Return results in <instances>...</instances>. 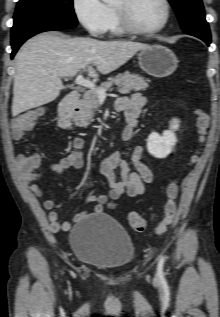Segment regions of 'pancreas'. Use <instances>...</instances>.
<instances>
[{"mask_svg": "<svg viewBox=\"0 0 220 317\" xmlns=\"http://www.w3.org/2000/svg\"><path fill=\"white\" fill-rule=\"evenodd\" d=\"M147 79L137 74L125 72L115 77L108 78V81L102 83L99 88L107 89L113 84L117 85L118 92L127 94L130 91L145 90L148 87ZM98 105V95L94 90L86 91L83 99L80 101L79 111L75 116V124L79 127H87L95 116V109Z\"/></svg>", "mask_w": 220, "mask_h": 317, "instance_id": "obj_1", "label": "pancreas"}]
</instances>
